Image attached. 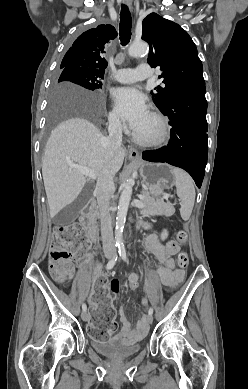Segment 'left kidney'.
Segmentation results:
<instances>
[{
  "label": "left kidney",
  "mask_w": 248,
  "mask_h": 389,
  "mask_svg": "<svg viewBox=\"0 0 248 389\" xmlns=\"http://www.w3.org/2000/svg\"><path fill=\"white\" fill-rule=\"evenodd\" d=\"M167 237H168V232H167V230H163V232H162V234H161V239H162V240H165Z\"/></svg>",
  "instance_id": "left-kidney-1"
}]
</instances>
